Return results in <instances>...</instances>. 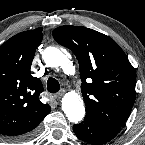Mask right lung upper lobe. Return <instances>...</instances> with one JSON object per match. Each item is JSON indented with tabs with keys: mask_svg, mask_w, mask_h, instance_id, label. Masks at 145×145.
I'll use <instances>...</instances> for the list:
<instances>
[{
	"mask_svg": "<svg viewBox=\"0 0 145 145\" xmlns=\"http://www.w3.org/2000/svg\"><path fill=\"white\" fill-rule=\"evenodd\" d=\"M42 28L21 32L0 46V135L15 137L35 129L51 107L39 100L41 81L30 75Z\"/></svg>",
	"mask_w": 145,
	"mask_h": 145,
	"instance_id": "right-lung-upper-lobe-1",
	"label": "right lung upper lobe"
}]
</instances>
